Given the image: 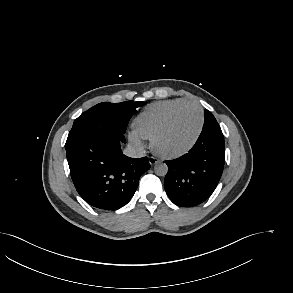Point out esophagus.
I'll list each match as a JSON object with an SVG mask.
<instances>
[{
  "instance_id": "obj_1",
  "label": "esophagus",
  "mask_w": 293,
  "mask_h": 293,
  "mask_svg": "<svg viewBox=\"0 0 293 293\" xmlns=\"http://www.w3.org/2000/svg\"><path fill=\"white\" fill-rule=\"evenodd\" d=\"M158 162H159V160L157 158H155V157H150L149 158V163H150L151 166L157 164Z\"/></svg>"
}]
</instances>
